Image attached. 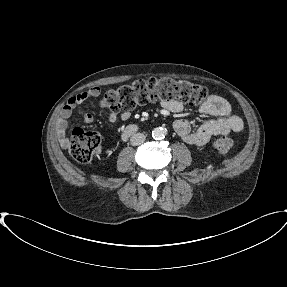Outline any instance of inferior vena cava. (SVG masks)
<instances>
[{
  "mask_svg": "<svg viewBox=\"0 0 287 287\" xmlns=\"http://www.w3.org/2000/svg\"><path fill=\"white\" fill-rule=\"evenodd\" d=\"M146 136L143 133H135L130 138V143L133 146L141 145L145 142Z\"/></svg>",
  "mask_w": 287,
  "mask_h": 287,
  "instance_id": "inferior-vena-cava-1",
  "label": "inferior vena cava"
}]
</instances>
